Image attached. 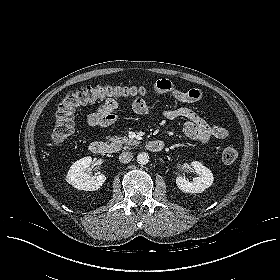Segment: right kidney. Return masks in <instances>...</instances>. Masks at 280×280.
I'll return each instance as SVG.
<instances>
[{
	"mask_svg": "<svg viewBox=\"0 0 280 280\" xmlns=\"http://www.w3.org/2000/svg\"><path fill=\"white\" fill-rule=\"evenodd\" d=\"M92 163L90 156L77 160L70 167L66 181L74 188L84 191L98 190L106 180L105 175L99 174L91 176L84 172Z\"/></svg>",
	"mask_w": 280,
	"mask_h": 280,
	"instance_id": "obj_1",
	"label": "right kidney"
}]
</instances>
